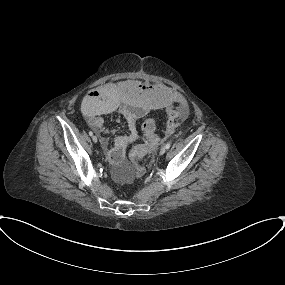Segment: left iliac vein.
I'll use <instances>...</instances> for the list:
<instances>
[{
	"instance_id": "obj_1",
	"label": "left iliac vein",
	"mask_w": 285,
	"mask_h": 285,
	"mask_svg": "<svg viewBox=\"0 0 285 285\" xmlns=\"http://www.w3.org/2000/svg\"><path fill=\"white\" fill-rule=\"evenodd\" d=\"M166 150H167L166 146H162L161 149H160L159 154L163 155L166 152Z\"/></svg>"
}]
</instances>
